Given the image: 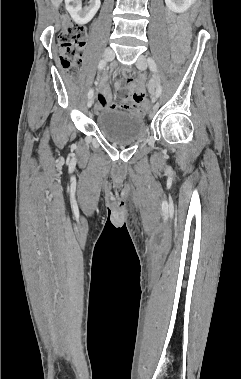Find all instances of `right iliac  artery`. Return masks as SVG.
<instances>
[{
  "label": "right iliac artery",
  "instance_id": "82829eb1",
  "mask_svg": "<svg viewBox=\"0 0 241 379\" xmlns=\"http://www.w3.org/2000/svg\"><path fill=\"white\" fill-rule=\"evenodd\" d=\"M106 66V61L105 60H101L98 64V69L99 70H102L104 67ZM93 89H90L89 92H88V98H92L93 96Z\"/></svg>",
  "mask_w": 241,
  "mask_h": 379
}]
</instances>
